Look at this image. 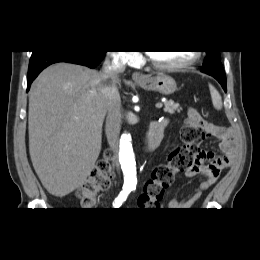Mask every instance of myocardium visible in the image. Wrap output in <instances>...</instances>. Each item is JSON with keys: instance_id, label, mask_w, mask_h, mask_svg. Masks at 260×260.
I'll list each match as a JSON object with an SVG mask.
<instances>
[{"instance_id": "f54148a6", "label": "myocardium", "mask_w": 260, "mask_h": 260, "mask_svg": "<svg viewBox=\"0 0 260 260\" xmlns=\"http://www.w3.org/2000/svg\"><path fill=\"white\" fill-rule=\"evenodd\" d=\"M201 57V53L199 51H194L193 55L190 59L183 61L181 63L176 64H163L157 62L150 53L147 54V60L149 63L156 69L164 70V71H179L186 69L192 65H194Z\"/></svg>"}]
</instances>
